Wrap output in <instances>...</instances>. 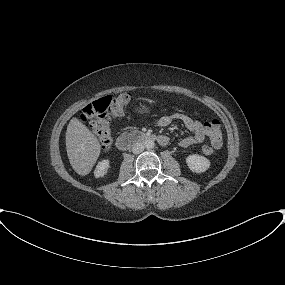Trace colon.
Masks as SVG:
<instances>
[{
    "mask_svg": "<svg viewBox=\"0 0 285 285\" xmlns=\"http://www.w3.org/2000/svg\"><path fill=\"white\" fill-rule=\"evenodd\" d=\"M129 100L128 93H117L99 98L84 107L80 118L90 124L102 149H109L113 142L110 120L125 113ZM205 128L210 144L204 145L202 152L205 155H211L222 145V127L218 121H211Z\"/></svg>",
    "mask_w": 285,
    "mask_h": 285,
    "instance_id": "5ec220e1",
    "label": "colon"
}]
</instances>
